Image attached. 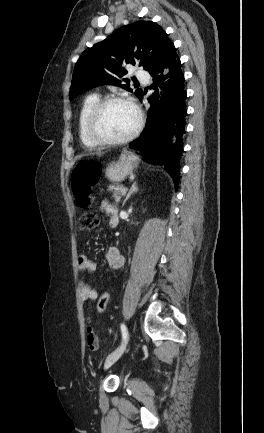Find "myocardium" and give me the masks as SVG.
<instances>
[{
    "label": "myocardium",
    "mask_w": 264,
    "mask_h": 433,
    "mask_svg": "<svg viewBox=\"0 0 264 433\" xmlns=\"http://www.w3.org/2000/svg\"><path fill=\"white\" fill-rule=\"evenodd\" d=\"M114 103H124L129 105L135 112L136 114V124L134 126V128L125 136L120 137V138H106L101 136L97 131H96V124L97 121L99 119L100 114L102 113V111L109 105L114 104ZM143 125V115L142 112L140 110V108L138 107V105L130 98L126 97V96H109L103 99H100L91 109V111L89 112L87 119H86V124H85V129H86V133L87 136L89 137V139L92 141L93 144L98 145V146H109V145H122L125 144L129 141H131L132 139H134L140 132L141 128Z\"/></svg>",
    "instance_id": "obj_1"
}]
</instances>
